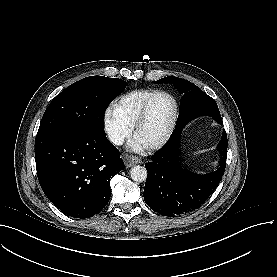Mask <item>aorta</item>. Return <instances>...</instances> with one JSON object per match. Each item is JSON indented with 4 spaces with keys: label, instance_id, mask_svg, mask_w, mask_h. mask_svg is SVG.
<instances>
[{
    "label": "aorta",
    "instance_id": "obj_1",
    "mask_svg": "<svg viewBox=\"0 0 277 277\" xmlns=\"http://www.w3.org/2000/svg\"><path fill=\"white\" fill-rule=\"evenodd\" d=\"M130 177L135 182H144L147 178V170L143 166L136 165L131 168Z\"/></svg>",
    "mask_w": 277,
    "mask_h": 277
}]
</instances>
